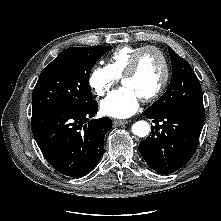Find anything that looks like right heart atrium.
<instances>
[{
  "label": "right heart atrium",
  "mask_w": 221,
  "mask_h": 221,
  "mask_svg": "<svg viewBox=\"0 0 221 221\" xmlns=\"http://www.w3.org/2000/svg\"><path fill=\"white\" fill-rule=\"evenodd\" d=\"M117 78L105 67H95L89 74L88 84L97 96L106 95L115 84Z\"/></svg>",
  "instance_id": "obj_1"
}]
</instances>
